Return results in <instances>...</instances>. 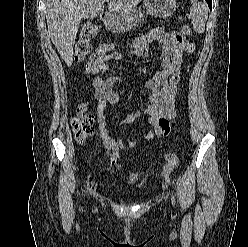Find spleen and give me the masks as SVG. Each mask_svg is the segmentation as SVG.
Segmentation results:
<instances>
[{"label":"spleen","instance_id":"spleen-1","mask_svg":"<svg viewBox=\"0 0 248 247\" xmlns=\"http://www.w3.org/2000/svg\"><path fill=\"white\" fill-rule=\"evenodd\" d=\"M192 6L190 8V17L193 23V29L197 33H203L205 30V23L208 17L207 6L197 0H191Z\"/></svg>","mask_w":248,"mask_h":247}]
</instances>
